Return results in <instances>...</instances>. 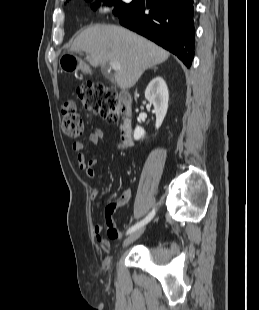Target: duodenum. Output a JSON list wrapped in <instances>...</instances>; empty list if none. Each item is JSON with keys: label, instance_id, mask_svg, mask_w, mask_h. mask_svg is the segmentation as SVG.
Listing matches in <instances>:
<instances>
[{"label": "duodenum", "instance_id": "1", "mask_svg": "<svg viewBox=\"0 0 259 310\" xmlns=\"http://www.w3.org/2000/svg\"><path fill=\"white\" fill-rule=\"evenodd\" d=\"M122 100L123 102L128 106L130 102V97L127 94L122 95ZM122 143L125 147H128L132 143V136H131V131H130V122L128 118L126 117L124 122H123V131H122Z\"/></svg>", "mask_w": 259, "mask_h": 310}]
</instances>
